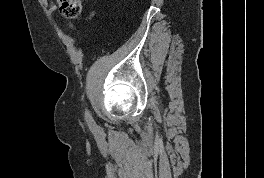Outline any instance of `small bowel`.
Listing matches in <instances>:
<instances>
[{
  "label": "small bowel",
  "mask_w": 264,
  "mask_h": 178,
  "mask_svg": "<svg viewBox=\"0 0 264 178\" xmlns=\"http://www.w3.org/2000/svg\"><path fill=\"white\" fill-rule=\"evenodd\" d=\"M44 4H47V0H42ZM55 10V6L51 5L49 6V11L53 12Z\"/></svg>",
  "instance_id": "1"
}]
</instances>
